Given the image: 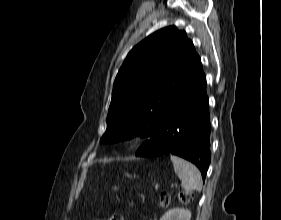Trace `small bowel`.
Listing matches in <instances>:
<instances>
[{"label": "small bowel", "mask_w": 281, "mask_h": 220, "mask_svg": "<svg viewBox=\"0 0 281 220\" xmlns=\"http://www.w3.org/2000/svg\"><path fill=\"white\" fill-rule=\"evenodd\" d=\"M96 220H108V219H106V218H98Z\"/></svg>", "instance_id": "small-bowel-1"}]
</instances>
